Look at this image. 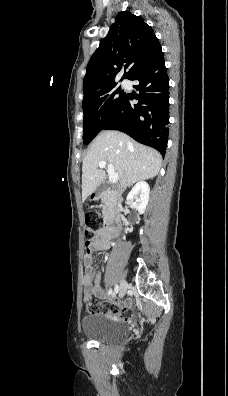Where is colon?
<instances>
[{"instance_id": "colon-1", "label": "colon", "mask_w": 228, "mask_h": 396, "mask_svg": "<svg viewBox=\"0 0 228 396\" xmlns=\"http://www.w3.org/2000/svg\"><path fill=\"white\" fill-rule=\"evenodd\" d=\"M86 229L85 236L87 238L86 241L92 238L94 232L101 228L102 219L96 213L87 214L86 219ZM86 250V246H85ZM85 255V254H84ZM85 306L86 310L90 314H103L110 318H124L127 319L130 317V310L127 307L116 305L114 303L108 301H97L90 295H86L85 297Z\"/></svg>"}]
</instances>
